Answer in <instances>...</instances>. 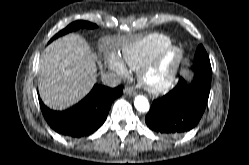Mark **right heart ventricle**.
<instances>
[{
  "label": "right heart ventricle",
  "instance_id": "1",
  "mask_svg": "<svg viewBox=\"0 0 249 165\" xmlns=\"http://www.w3.org/2000/svg\"><path fill=\"white\" fill-rule=\"evenodd\" d=\"M171 45V40L159 33L151 34L125 47L122 59L131 69H139L147 61L158 57Z\"/></svg>",
  "mask_w": 249,
  "mask_h": 165
}]
</instances>
